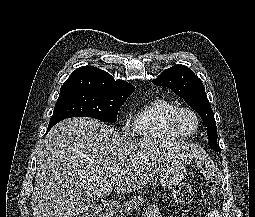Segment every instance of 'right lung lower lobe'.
<instances>
[{
  "label": "right lung lower lobe",
  "instance_id": "1",
  "mask_svg": "<svg viewBox=\"0 0 255 217\" xmlns=\"http://www.w3.org/2000/svg\"><path fill=\"white\" fill-rule=\"evenodd\" d=\"M57 124V123H56ZM55 124H49V126H48V131L47 132H49V130L54 126Z\"/></svg>",
  "mask_w": 255,
  "mask_h": 217
}]
</instances>
